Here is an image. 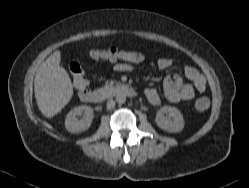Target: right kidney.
I'll use <instances>...</instances> for the list:
<instances>
[{
	"mask_svg": "<svg viewBox=\"0 0 249 188\" xmlns=\"http://www.w3.org/2000/svg\"><path fill=\"white\" fill-rule=\"evenodd\" d=\"M83 114L82 119L78 116ZM93 109L90 106L82 105L74 107L66 116L65 127L71 133H80L87 130L93 121Z\"/></svg>",
	"mask_w": 249,
	"mask_h": 188,
	"instance_id": "1",
	"label": "right kidney"
}]
</instances>
